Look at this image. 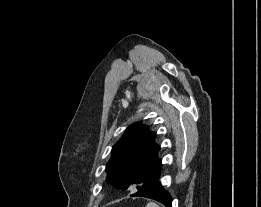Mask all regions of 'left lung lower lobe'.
<instances>
[{"instance_id":"0a47b994","label":"left lung lower lobe","mask_w":261,"mask_h":207,"mask_svg":"<svg viewBox=\"0 0 261 207\" xmlns=\"http://www.w3.org/2000/svg\"><path fill=\"white\" fill-rule=\"evenodd\" d=\"M160 174L154 179L143 183L136 188V192L131 196H139L156 200L166 207H172L170 194L163 188L159 181Z\"/></svg>"}]
</instances>
